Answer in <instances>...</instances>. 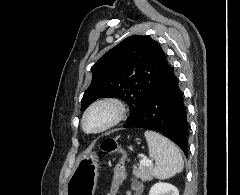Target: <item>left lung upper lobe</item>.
I'll return each instance as SVG.
<instances>
[{"mask_svg":"<svg viewBox=\"0 0 240 195\" xmlns=\"http://www.w3.org/2000/svg\"><path fill=\"white\" fill-rule=\"evenodd\" d=\"M164 51L151 38L132 35L101 57L92 68V82L84 92L81 110L101 97L129 104L130 121L169 71Z\"/></svg>","mask_w":240,"mask_h":195,"instance_id":"5c2ea615","label":"left lung upper lobe"}]
</instances>
